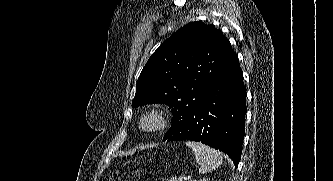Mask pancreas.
Returning <instances> with one entry per match:
<instances>
[{
	"mask_svg": "<svg viewBox=\"0 0 333 181\" xmlns=\"http://www.w3.org/2000/svg\"><path fill=\"white\" fill-rule=\"evenodd\" d=\"M167 181H178V179L176 177H172V178L168 179Z\"/></svg>",
	"mask_w": 333,
	"mask_h": 181,
	"instance_id": "obj_1",
	"label": "pancreas"
}]
</instances>
